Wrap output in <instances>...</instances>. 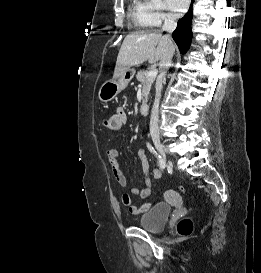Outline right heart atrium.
Returning a JSON list of instances; mask_svg holds the SVG:
<instances>
[{
    "instance_id": "obj_1",
    "label": "right heart atrium",
    "mask_w": 261,
    "mask_h": 273,
    "mask_svg": "<svg viewBox=\"0 0 261 273\" xmlns=\"http://www.w3.org/2000/svg\"><path fill=\"white\" fill-rule=\"evenodd\" d=\"M142 8L148 27H159L164 22L174 19L173 13L163 0H143Z\"/></svg>"
}]
</instances>
